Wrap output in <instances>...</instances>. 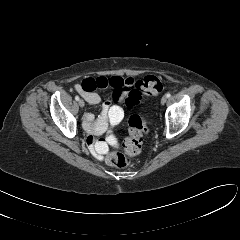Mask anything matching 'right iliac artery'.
<instances>
[{
  "mask_svg": "<svg viewBox=\"0 0 240 240\" xmlns=\"http://www.w3.org/2000/svg\"><path fill=\"white\" fill-rule=\"evenodd\" d=\"M79 99H80L79 96H75L76 101H79Z\"/></svg>",
  "mask_w": 240,
  "mask_h": 240,
  "instance_id": "82829eb1",
  "label": "right iliac artery"
}]
</instances>
